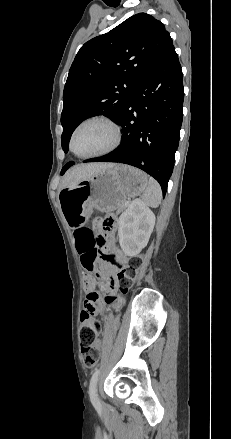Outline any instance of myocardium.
<instances>
[{
	"mask_svg": "<svg viewBox=\"0 0 231 439\" xmlns=\"http://www.w3.org/2000/svg\"><path fill=\"white\" fill-rule=\"evenodd\" d=\"M93 121H99V122H103L105 124H107L113 131V141L112 143L105 149L96 152V153H92V154H86V155H80L78 153L75 152L74 147H73V142H74V137L76 135V132L85 124L89 123V122H93ZM122 141V129L120 127V125L110 116L104 115V114H96V115H91L83 120H81L72 130L71 135H70V139H69V148L70 151L78 158L80 159H90V158H98V157H102L105 156L107 154L112 153L113 151H115L121 144Z\"/></svg>",
	"mask_w": 231,
	"mask_h": 439,
	"instance_id": "f54148a6",
	"label": "myocardium"
}]
</instances>
